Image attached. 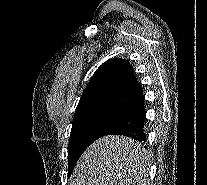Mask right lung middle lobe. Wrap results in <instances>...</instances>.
I'll use <instances>...</instances> for the list:
<instances>
[{"instance_id": "right-lung-middle-lobe-1", "label": "right lung middle lobe", "mask_w": 207, "mask_h": 185, "mask_svg": "<svg viewBox=\"0 0 207 185\" xmlns=\"http://www.w3.org/2000/svg\"><path fill=\"white\" fill-rule=\"evenodd\" d=\"M123 111L94 108L74 115L68 144V174L70 175L85 149L121 116Z\"/></svg>"}]
</instances>
